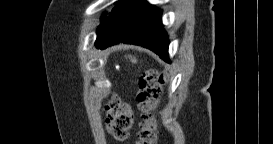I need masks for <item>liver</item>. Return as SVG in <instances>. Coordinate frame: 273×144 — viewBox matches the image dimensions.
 Masks as SVG:
<instances>
[{"instance_id":"obj_1","label":"liver","mask_w":273,"mask_h":144,"mask_svg":"<svg viewBox=\"0 0 273 144\" xmlns=\"http://www.w3.org/2000/svg\"><path fill=\"white\" fill-rule=\"evenodd\" d=\"M128 58L130 59V61H131L132 63H137V59H136L135 57L129 55Z\"/></svg>"}]
</instances>
